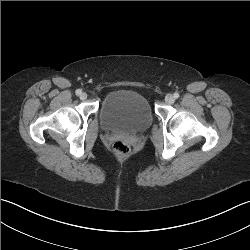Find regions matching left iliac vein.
Listing matches in <instances>:
<instances>
[{"instance_id": "1", "label": "left iliac vein", "mask_w": 250, "mask_h": 250, "mask_svg": "<svg viewBox=\"0 0 250 250\" xmlns=\"http://www.w3.org/2000/svg\"><path fill=\"white\" fill-rule=\"evenodd\" d=\"M165 101L168 103V104H173L174 101H175V98L172 94H167L166 97H165Z\"/></svg>"}]
</instances>
